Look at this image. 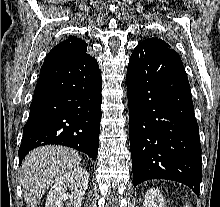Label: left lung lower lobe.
<instances>
[{"label": "left lung lower lobe", "mask_w": 220, "mask_h": 207, "mask_svg": "<svg viewBox=\"0 0 220 207\" xmlns=\"http://www.w3.org/2000/svg\"><path fill=\"white\" fill-rule=\"evenodd\" d=\"M126 81L134 186L149 179L173 180L199 197V128L180 56L171 48L139 43Z\"/></svg>", "instance_id": "0a47b994"}]
</instances>
